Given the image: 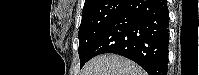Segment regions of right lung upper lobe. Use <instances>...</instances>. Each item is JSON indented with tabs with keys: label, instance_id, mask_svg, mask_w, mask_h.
Segmentation results:
<instances>
[{
	"label": "right lung upper lobe",
	"instance_id": "cb5924a9",
	"mask_svg": "<svg viewBox=\"0 0 199 75\" xmlns=\"http://www.w3.org/2000/svg\"><path fill=\"white\" fill-rule=\"evenodd\" d=\"M104 2H105V0H85V4H84L83 9L96 7V6L101 5Z\"/></svg>",
	"mask_w": 199,
	"mask_h": 75
}]
</instances>
